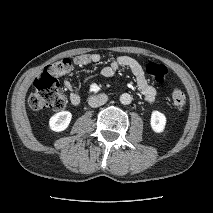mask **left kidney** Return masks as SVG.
I'll use <instances>...</instances> for the list:
<instances>
[{
    "mask_svg": "<svg viewBox=\"0 0 213 213\" xmlns=\"http://www.w3.org/2000/svg\"><path fill=\"white\" fill-rule=\"evenodd\" d=\"M151 127L156 133H161L165 129L166 117L159 111H153L150 120Z\"/></svg>",
    "mask_w": 213,
    "mask_h": 213,
    "instance_id": "obj_1",
    "label": "left kidney"
}]
</instances>
